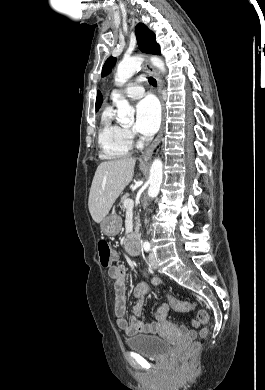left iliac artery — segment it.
Here are the masks:
<instances>
[{
  "instance_id": "1",
  "label": "left iliac artery",
  "mask_w": 265,
  "mask_h": 390,
  "mask_svg": "<svg viewBox=\"0 0 265 390\" xmlns=\"http://www.w3.org/2000/svg\"><path fill=\"white\" fill-rule=\"evenodd\" d=\"M144 249L145 251H149L150 250V244H144Z\"/></svg>"
}]
</instances>
